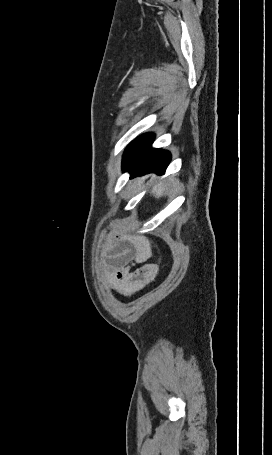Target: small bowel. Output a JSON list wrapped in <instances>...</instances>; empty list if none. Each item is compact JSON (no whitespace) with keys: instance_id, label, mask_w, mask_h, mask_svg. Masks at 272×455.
<instances>
[{"instance_id":"c3829d8e","label":"small bowel","mask_w":272,"mask_h":455,"mask_svg":"<svg viewBox=\"0 0 272 455\" xmlns=\"http://www.w3.org/2000/svg\"><path fill=\"white\" fill-rule=\"evenodd\" d=\"M150 256V244L141 236L127 235L112 242L105 257L108 284L126 296L143 289L158 274V267L147 262Z\"/></svg>"}]
</instances>
